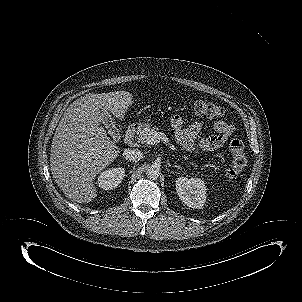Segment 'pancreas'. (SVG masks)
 <instances>
[{"label":"pancreas","mask_w":302,"mask_h":302,"mask_svg":"<svg viewBox=\"0 0 302 302\" xmlns=\"http://www.w3.org/2000/svg\"><path fill=\"white\" fill-rule=\"evenodd\" d=\"M159 128L158 127H151L147 128L146 130H142L138 135H137V140L141 143H146L147 139L154 135L155 133H158Z\"/></svg>","instance_id":"pancreas-1"}]
</instances>
